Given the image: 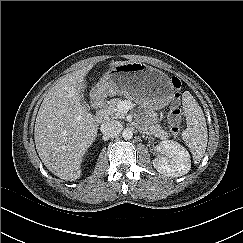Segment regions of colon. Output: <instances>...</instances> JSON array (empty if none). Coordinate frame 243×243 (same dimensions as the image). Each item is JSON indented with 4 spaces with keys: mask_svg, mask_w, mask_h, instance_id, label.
Listing matches in <instances>:
<instances>
[{
    "mask_svg": "<svg viewBox=\"0 0 243 243\" xmlns=\"http://www.w3.org/2000/svg\"><path fill=\"white\" fill-rule=\"evenodd\" d=\"M171 84L174 89L179 90L181 88V81L177 77L171 79ZM180 94L176 93L174 95L173 104L170 107L168 113V124L170 132L174 135L178 134L181 124V108L179 105Z\"/></svg>",
    "mask_w": 243,
    "mask_h": 243,
    "instance_id": "colon-1",
    "label": "colon"
}]
</instances>
